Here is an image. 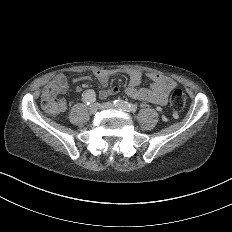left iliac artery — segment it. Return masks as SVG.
<instances>
[{
  "mask_svg": "<svg viewBox=\"0 0 232 232\" xmlns=\"http://www.w3.org/2000/svg\"><path fill=\"white\" fill-rule=\"evenodd\" d=\"M113 106L118 110L135 113L138 110V105L131 104L122 100L113 101Z\"/></svg>",
  "mask_w": 232,
  "mask_h": 232,
  "instance_id": "1",
  "label": "left iliac artery"
}]
</instances>
